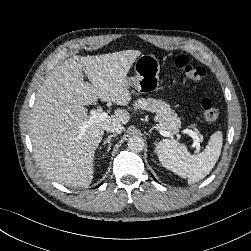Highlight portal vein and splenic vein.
<instances>
[{"mask_svg": "<svg viewBox=\"0 0 251 251\" xmlns=\"http://www.w3.org/2000/svg\"><path fill=\"white\" fill-rule=\"evenodd\" d=\"M108 117V113L107 112H103L101 110H92L90 112V118L89 120L87 121V124L91 125L95 122H99V121H103L105 120L106 118ZM87 124L85 125V127H87ZM159 133L164 136V137H171L173 136L170 132L168 131H165V130H159ZM183 134H187L189 135L190 137L193 138V144H192V147L193 148H196L197 151H200V139L197 135L196 132H194L193 130L191 129H184L182 131ZM179 137V135H177Z\"/></svg>", "mask_w": 251, "mask_h": 251, "instance_id": "1", "label": "portal vein and splenic vein"}]
</instances>
